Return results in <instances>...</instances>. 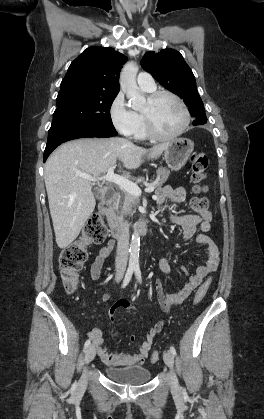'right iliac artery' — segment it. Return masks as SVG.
<instances>
[{"mask_svg":"<svg viewBox=\"0 0 264 419\" xmlns=\"http://www.w3.org/2000/svg\"><path fill=\"white\" fill-rule=\"evenodd\" d=\"M133 271H134L133 267H129L127 269V272H126V275H125V278H124V281H123V284H122V288H125L128 285V283L130 282V280L132 278V275H133ZM90 343H91V340L88 339L84 344V348L87 349L90 346Z\"/></svg>","mask_w":264,"mask_h":419,"instance_id":"82829eb1","label":"right iliac artery"}]
</instances>
